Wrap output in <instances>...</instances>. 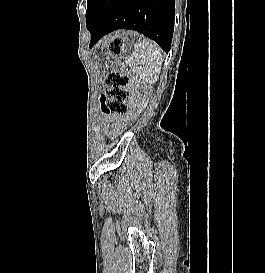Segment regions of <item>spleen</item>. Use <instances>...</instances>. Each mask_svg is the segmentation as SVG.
Masks as SVG:
<instances>
[{"mask_svg": "<svg viewBox=\"0 0 265 273\" xmlns=\"http://www.w3.org/2000/svg\"><path fill=\"white\" fill-rule=\"evenodd\" d=\"M130 61L133 71L137 72L143 81L154 83L161 70L163 55L154 42L140 38L134 46Z\"/></svg>", "mask_w": 265, "mask_h": 273, "instance_id": "3e777b00", "label": "spleen"}]
</instances>
